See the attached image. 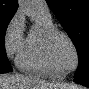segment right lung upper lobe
Masks as SVG:
<instances>
[{"instance_id":"right-lung-upper-lobe-1","label":"right lung upper lobe","mask_w":89,"mask_h":89,"mask_svg":"<svg viewBox=\"0 0 89 89\" xmlns=\"http://www.w3.org/2000/svg\"><path fill=\"white\" fill-rule=\"evenodd\" d=\"M18 8V0H0V14L14 15Z\"/></svg>"}]
</instances>
